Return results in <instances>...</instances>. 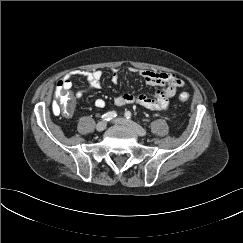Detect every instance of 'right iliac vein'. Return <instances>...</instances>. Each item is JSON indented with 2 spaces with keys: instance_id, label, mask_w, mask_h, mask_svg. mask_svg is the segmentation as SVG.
<instances>
[{
  "instance_id": "1",
  "label": "right iliac vein",
  "mask_w": 243,
  "mask_h": 243,
  "mask_svg": "<svg viewBox=\"0 0 243 243\" xmlns=\"http://www.w3.org/2000/svg\"><path fill=\"white\" fill-rule=\"evenodd\" d=\"M106 127H107V123L104 122V121H101V122H99V123L96 125V129H97V131H99V132L104 131V130L106 129Z\"/></svg>"
}]
</instances>
